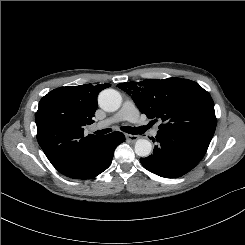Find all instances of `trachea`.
<instances>
[{
    "label": "trachea",
    "instance_id": "3493384b",
    "mask_svg": "<svg viewBox=\"0 0 245 245\" xmlns=\"http://www.w3.org/2000/svg\"><path fill=\"white\" fill-rule=\"evenodd\" d=\"M149 127H150V125L141 126V127L123 126V127H121V130L124 131V132H126V133L135 135V134H142V133H144ZM111 131H112L111 128H107V129H103V130H98V131L95 132V134H97V135H104V134H107V133H109Z\"/></svg>",
    "mask_w": 245,
    "mask_h": 245
}]
</instances>
